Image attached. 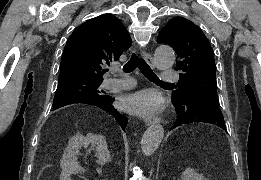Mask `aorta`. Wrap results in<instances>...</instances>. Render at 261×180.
<instances>
[{"mask_svg":"<svg viewBox=\"0 0 261 180\" xmlns=\"http://www.w3.org/2000/svg\"><path fill=\"white\" fill-rule=\"evenodd\" d=\"M175 53L169 46H159L154 54L153 62L160 70L171 68L175 62ZM164 136V128L160 124L150 126L141 140V149L145 155L153 154L159 147Z\"/></svg>","mask_w":261,"mask_h":180,"instance_id":"762f6f07","label":"aorta"}]
</instances>
